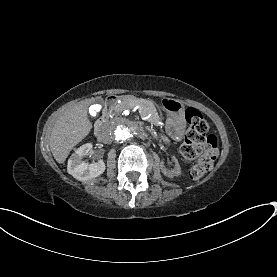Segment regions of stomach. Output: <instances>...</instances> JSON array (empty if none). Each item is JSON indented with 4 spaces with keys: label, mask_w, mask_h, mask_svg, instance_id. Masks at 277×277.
Here are the masks:
<instances>
[{
    "label": "stomach",
    "mask_w": 277,
    "mask_h": 277,
    "mask_svg": "<svg viewBox=\"0 0 277 277\" xmlns=\"http://www.w3.org/2000/svg\"><path fill=\"white\" fill-rule=\"evenodd\" d=\"M161 108L166 112V123L169 130L181 132L185 126V106L182 101L173 98H164Z\"/></svg>",
    "instance_id": "obj_1"
}]
</instances>
